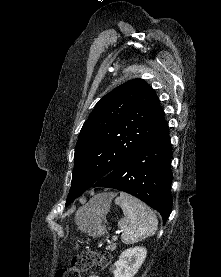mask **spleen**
Masks as SVG:
<instances>
[{
	"label": "spleen",
	"instance_id": "3e777b00",
	"mask_svg": "<svg viewBox=\"0 0 221 277\" xmlns=\"http://www.w3.org/2000/svg\"><path fill=\"white\" fill-rule=\"evenodd\" d=\"M115 203L124 213V218L118 222L124 244H134L156 233L158 220L147 205L123 192L115 199Z\"/></svg>",
	"mask_w": 221,
	"mask_h": 277
}]
</instances>
